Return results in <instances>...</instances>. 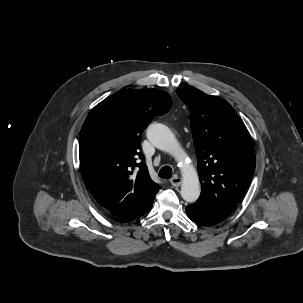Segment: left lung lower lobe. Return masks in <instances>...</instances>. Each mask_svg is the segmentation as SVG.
<instances>
[{
    "instance_id": "0a47b994",
    "label": "left lung lower lobe",
    "mask_w": 303,
    "mask_h": 303,
    "mask_svg": "<svg viewBox=\"0 0 303 303\" xmlns=\"http://www.w3.org/2000/svg\"><path fill=\"white\" fill-rule=\"evenodd\" d=\"M186 213L193 222L204 226L218 224L227 218L222 211L200 202L187 206Z\"/></svg>"
}]
</instances>
